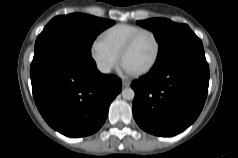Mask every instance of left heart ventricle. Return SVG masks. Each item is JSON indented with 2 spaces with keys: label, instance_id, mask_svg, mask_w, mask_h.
I'll return each mask as SVG.
<instances>
[{
  "label": "left heart ventricle",
  "instance_id": "obj_1",
  "mask_svg": "<svg viewBox=\"0 0 238 158\" xmlns=\"http://www.w3.org/2000/svg\"><path fill=\"white\" fill-rule=\"evenodd\" d=\"M156 44L149 34L142 35L124 58V66L131 71L146 67L154 58Z\"/></svg>",
  "mask_w": 238,
  "mask_h": 158
}]
</instances>
